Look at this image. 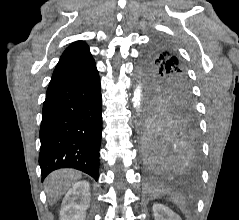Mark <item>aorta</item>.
<instances>
[{"label": "aorta", "instance_id": "1", "mask_svg": "<svg viewBox=\"0 0 239 220\" xmlns=\"http://www.w3.org/2000/svg\"><path fill=\"white\" fill-rule=\"evenodd\" d=\"M141 99H142V94H141V86H138L134 92V97H133V106L137 109L140 108L141 105Z\"/></svg>", "mask_w": 239, "mask_h": 220}]
</instances>
